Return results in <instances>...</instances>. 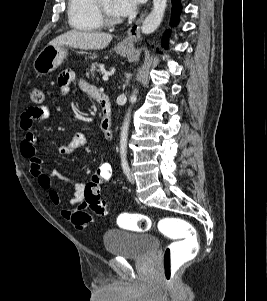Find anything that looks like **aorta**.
Masks as SVG:
<instances>
[{
  "label": "aorta",
  "instance_id": "762f6f07",
  "mask_svg": "<svg viewBox=\"0 0 267 301\" xmlns=\"http://www.w3.org/2000/svg\"><path fill=\"white\" fill-rule=\"evenodd\" d=\"M166 2L167 0H153V9L151 13L144 19L141 26V31L143 34L153 33L158 28L165 12ZM136 99H137V90H134L131 96V102L134 103ZM130 113L131 110L129 109L124 119V123L122 125L121 133H120L121 159H125L127 154V140H128V131H129V123H130Z\"/></svg>",
  "mask_w": 267,
  "mask_h": 301
}]
</instances>
